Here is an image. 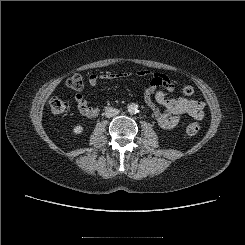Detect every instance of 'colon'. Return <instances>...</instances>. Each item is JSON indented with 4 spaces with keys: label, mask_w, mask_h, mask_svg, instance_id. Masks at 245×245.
Segmentation results:
<instances>
[{
    "label": "colon",
    "mask_w": 245,
    "mask_h": 245,
    "mask_svg": "<svg viewBox=\"0 0 245 245\" xmlns=\"http://www.w3.org/2000/svg\"><path fill=\"white\" fill-rule=\"evenodd\" d=\"M67 86L74 91H79L83 88V78L79 74L72 75L67 79ZM181 92L185 96H191L194 93V88L189 85H183ZM50 110L54 115H61L67 112L68 104L61 98L53 97L49 102ZM200 130V124L193 122L186 127V134L188 136H194Z\"/></svg>",
    "instance_id": "colon-1"
}]
</instances>
